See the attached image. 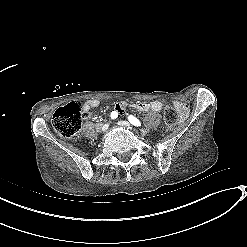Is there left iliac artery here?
Instances as JSON below:
<instances>
[{"mask_svg": "<svg viewBox=\"0 0 247 247\" xmlns=\"http://www.w3.org/2000/svg\"><path fill=\"white\" fill-rule=\"evenodd\" d=\"M128 120H129V122H130L131 124H133V125H135V126H141L140 121H139L136 117H134V116H132V115H130V116L128 117Z\"/></svg>", "mask_w": 247, "mask_h": 247, "instance_id": "1", "label": "left iliac artery"}]
</instances>
